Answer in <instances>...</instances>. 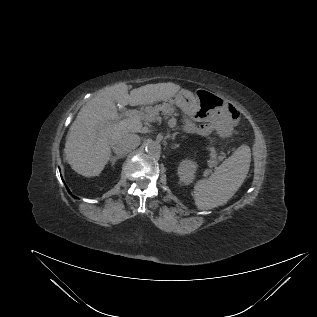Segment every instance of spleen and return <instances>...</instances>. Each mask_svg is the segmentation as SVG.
<instances>
[{
    "label": "spleen",
    "instance_id": "1",
    "mask_svg": "<svg viewBox=\"0 0 317 317\" xmlns=\"http://www.w3.org/2000/svg\"><path fill=\"white\" fill-rule=\"evenodd\" d=\"M251 151L240 146L208 178L194 186V200L199 210H209L223 205L244 182L250 167Z\"/></svg>",
    "mask_w": 317,
    "mask_h": 317
}]
</instances>
